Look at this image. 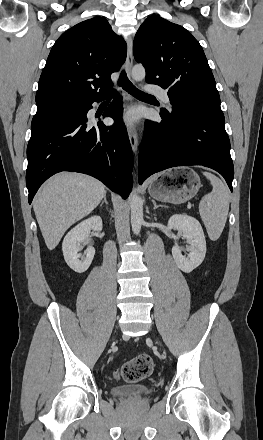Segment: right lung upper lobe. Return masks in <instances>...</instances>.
Returning a JSON list of instances; mask_svg holds the SVG:
<instances>
[{
  "label": "right lung upper lobe",
  "instance_id": "obj_1",
  "mask_svg": "<svg viewBox=\"0 0 263 440\" xmlns=\"http://www.w3.org/2000/svg\"><path fill=\"white\" fill-rule=\"evenodd\" d=\"M126 52L125 41L103 17L73 26L51 49L38 83L37 108L106 94L110 76L119 70Z\"/></svg>",
  "mask_w": 263,
  "mask_h": 440
}]
</instances>
